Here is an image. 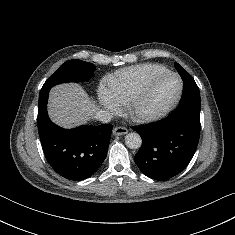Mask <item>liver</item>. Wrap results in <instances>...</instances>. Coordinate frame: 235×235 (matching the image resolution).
I'll return each instance as SVG.
<instances>
[{
    "label": "liver",
    "mask_w": 235,
    "mask_h": 235,
    "mask_svg": "<svg viewBox=\"0 0 235 235\" xmlns=\"http://www.w3.org/2000/svg\"><path fill=\"white\" fill-rule=\"evenodd\" d=\"M98 111L95 103L78 84H60L49 94L50 119L63 128H73L88 121Z\"/></svg>",
    "instance_id": "obj_1"
}]
</instances>
